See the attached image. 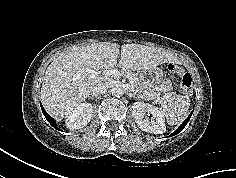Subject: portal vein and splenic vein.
I'll list each match as a JSON object with an SVG mask.
<instances>
[{"mask_svg": "<svg viewBox=\"0 0 236 178\" xmlns=\"http://www.w3.org/2000/svg\"><path fill=\"white\" fill-rule=\"evenodd\" d=\"M90 73L93 75V76H96V75H98V74H100L101 73V71H95V70H90ZM103 75H106V76H109V77H121L122 76V73L120 72V71H118V70H115V69H113V70H103ZM129 82H130V84L132 85V86H134L133 85V81H132V79H129Z\"/></svg>", "mask_w": 236, "mask_h": 178, "instance_id": "18ae733b", "label": "portal vein and splenic vein"}]
</instances>
